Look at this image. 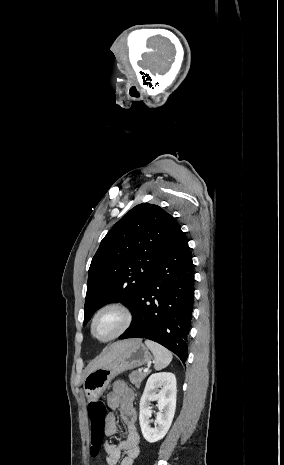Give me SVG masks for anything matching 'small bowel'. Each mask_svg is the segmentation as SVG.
<instances>
[{
  "label": "small bowel",
  "mask_w": 284,
  "mask_h": 465,
  "mask_svg": "<svg viewBox=\"0 0 284 465\" xmlns=\"http://www.w3.org/2000/svg\"><path fill=\"white\" fill-rule=\"evenodd\" d=\"M134 398V391L122 380L115 381L107 395V403L112 413L107 417L105 434L109 437L118 434L115 411L119 412L126 434L125 439L117 444L111 442L104 444L107 465H118L119 462L120 465H133L140 454V435L136 425L137 411Z\"/></svg>",
  "instance_id": "c3829d8e"
}]
</instances>
